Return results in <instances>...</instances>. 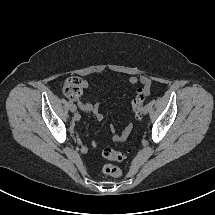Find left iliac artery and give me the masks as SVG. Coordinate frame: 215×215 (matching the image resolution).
I'll list each match as a JSON object with an SVG mask.
<instances>
[{"label":"left iliac artery","instance_id":"obj_1","mask_svg":"<svg viewBox=\"0 0 215 215\" xmlns=\"http://www.w3.org/2000/svg\"><path fill=\"white\" fill-rule=\"evenodd\" d=\"M138 113L143 111V107L139 106L138 109L136 110Z\"/></svg>","mask_w":215,"mask_h":215}]
</instances>
